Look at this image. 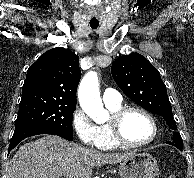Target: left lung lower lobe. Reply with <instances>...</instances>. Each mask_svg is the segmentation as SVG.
I'll return each instance as SVG.
<instances>
[{
    "instance_id": "obj_1",
    "label": "left lung lower lobe",
    "mask_w": 194,
    "mask_h": 178,
    "mask_svg": "<svg viewBox=\"0 0 194 178\" xmlns=\"http://www.w3.org/2000/svg\"><path fill=\"white\" fill-rule=\"evenodd\" d=\"M166 143L170 144V145H174V146H176L180 150H182V148H183L182 138L179 135V133H177V132H174L172 140L171 141H167Z\"/></svg>"
}]
</instances>
